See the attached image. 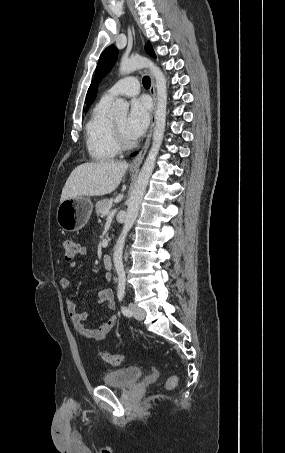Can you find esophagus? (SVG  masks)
Returning <instances> with one entry per match:
<instances>
[{
  "instance_id": "obj_1",
  "label": "esophagus",
  "mask_w": 285,
  "mask_h": 453,
  "mask_svg": "<svg viewBox=\"0 0 285 453\" xmlns=\"http://www.w3.org/2000/svg\"><path fill=\"white\" fill-rule=\"evenodd\" d=\"M150 77H151V87H150V94L153 98V111H152V114H151V125H150V130H149V133L147 135V138H146V141L143 145V147L141 148V150L139 151V153L135 156V158L132 160V162L130 163V168L131 169H138L144 159V156L148 150V147L150 145V140H151V135H152V131H153V128H154V125H155V110H156V105H157V100H156V90H155V80H154V77L153 75L150 73Z\"/></svg>"
}]
</instances>
